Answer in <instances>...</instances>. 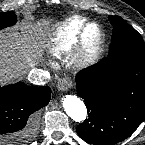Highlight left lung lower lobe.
Listing matches in <instances>:
<instances>
[{"mask_svg":"<svg viewBox=\"0 0 145 145\" xmlns=\"http://www.w3.org/2000/svg\"><path fill=\"white\" fill-rule=\"evenodd\" d=\"M89 118L77 126L87 143L110 145L129 137L145 118V58L109 55L76 75Z\"/></svg>","mask_w":145,"mask_h":145,"instance_id":"left-lung-lower-lobe-1","label":"left lung lower lobe"}]
</instances>
